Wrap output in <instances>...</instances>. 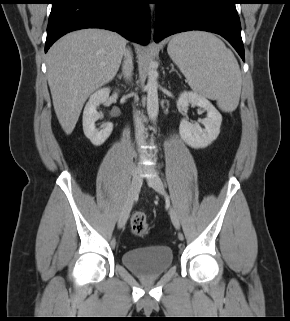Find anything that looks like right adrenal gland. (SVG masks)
I'll return each instance as SVG.
<instances>
[{"label":"right adrenal gland","instance_id":"2a0ac1e0","mask_svg":"<svg viewBox=\"0 0 290 321\" xmlns=\"http://www.w3.org/2000/svg\"><path fill=\"white\" fill-rule=\"evenodd\" d=\"M122 77H123L122 74H118V75H117V78L120 79V80L122 79Z\"/></svg>","mask_w":290,"mask_h":321}]
</instances>
